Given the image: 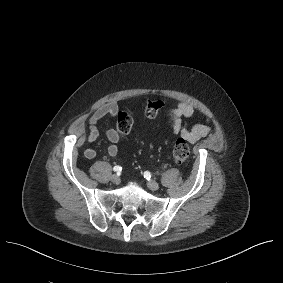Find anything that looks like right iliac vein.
Returning <instances> with one entry per match:
<instances>
[{
	"instance_id": "right-iliac-vein-1",
	"label": "right iliac vein",
	"mask_w": 283,
	"mask_h": 283,
	"mask_svg": "<svg viewBox=\"0 0 283 283\" xmlns=\"http://www.w3.org/2000/svg\"><path fill=\"white\" fill-rule=\"evenodd\" d=\"M110 179L114 184H118L120 182V178L115 174L112 175Z\"/></svg>"
}]
</instances>
